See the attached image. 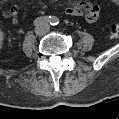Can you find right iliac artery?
Here are the masks:
<instances>
[{
    "label": "right iliac artery",
    "mask_w": 119,
    "mask_h": 119,
    "mask_svg": "<svg viewBox=\"0 0 119 119\" xmlns=\"http://www.w3.org/2000/svg\"><path fill=\"white\" fill-rule=\"evenodd\" d=\"M53 17L52 16H42V17H38L34 20L33 24L34 26H39L43 23H50L52 21Z\"/></svg>",
    "instance_id": "1"
}]
</instances>
